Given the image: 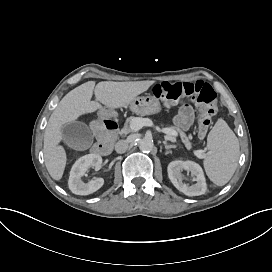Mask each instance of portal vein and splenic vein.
I'll list each match as a JSON object with an SVG mask.
<instances>
[{"mask_svg":"<svg viewBox=\"0 0 272 272\" xmlns=\"http://www.w3.org/2000/svg\"><path fill=\"white\" fill-rule=\"evenodd\" d=\"M143 126H147L153 129H156L160 131L161 133L174 136L172 139L173 141H176V138L178 136V132L176 130H172L168 127H162L159 128L152 120L148 118H140V117H135L131 122H130V128L133 132H138ZM193 154L198 157V158H203L200 150H193Z\"/></svg>","mask_w":272,"mask_h":272,"instance_id":"portal-vein-and-splenic-vein-1","label":"portal vein and splenic vein"}]
</instances>
